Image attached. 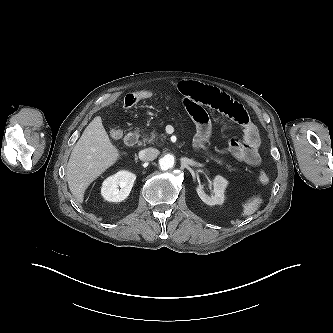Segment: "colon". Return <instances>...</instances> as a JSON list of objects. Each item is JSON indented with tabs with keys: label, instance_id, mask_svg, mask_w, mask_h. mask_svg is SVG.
<instances>
[{
	"label": "colon",
	"instance_id": "5ec220e1",
	"mask_svg": "<svg viewBox=\"0 0 333 333\" xmlns=\"http://www.w3.org/2000/svg\"><path fill=\"white\" fill-rule=\"evenodd\" d=\"M151 96H153V92L150 90L129 93L124 98V108L131 109L136 106L141 100L150 98ZM109 133L113 139H120L123 136L122 130L117 126L111 127ZM259 181L262 184H268L270 179L266 173L261 172L259 175Z\"/></svg>",
	"mask_w": 333,
	"mask_h": 333
}]
</instances>
